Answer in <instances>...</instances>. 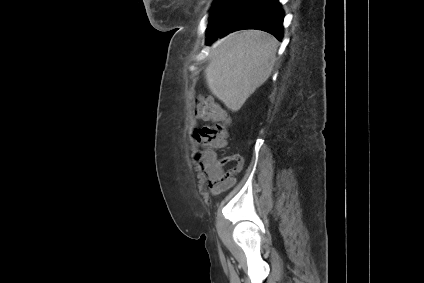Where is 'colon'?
I'll use <instances>...</instances> for the list:
<instances>
[{"mask_svg":"<svg viewBox=\"0 0 424 283\" xmlns=\"http://www.w3.org/2000/svg\"><path fill=\"white\" fill-rule=\"evenodd\" d=\"M195 114L200 119L212 121V125H206L194 134L196 140L205 147V150L199 154L205 165L212 166L217 162L215 149L223 148L228 139V119L225 111L215 102L208 98H200Z\"/></svg>","mask_w":424,"mask_h":283,"instance_id":"1","label":"colon"}]
</instances>
